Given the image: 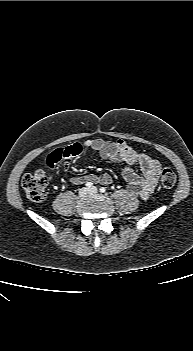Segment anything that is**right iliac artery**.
I'll return each instance as SVG.
<instances>
[{"mask_svg": "<svg viewBox=\"0 0 193 351\" xmlns=\"http://www.w3.org/2000/svg\"><path fill=\"white\" fill-rule=\"evenodd\" d=\"M85 186L88 187V188H90L91 186H93V183L87 182V183L85 184Z\"/></svg>", "mask_w": 193, "mask_h": 351, "instance_id": "obj_1", "label": "right iliac artery"}]
</instances>
